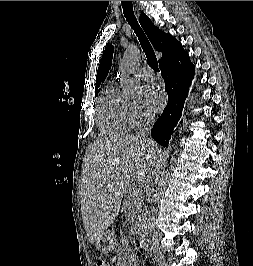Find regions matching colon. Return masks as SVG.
<instances>
[{"label":"colon","instance_id":"1","mask_svg":"<svg viewBox=\"0 0 253 266\" xmlns=\"http://www.w3.org/2000/svg\"><path fill=\"white\" fill-rule=\"evenodd\" d=\"M96 266H108V264L104 260H98Z\"/></svg>","mask_w":253,"mask_h":266}]
</instances>
